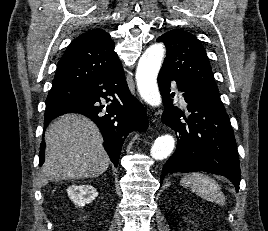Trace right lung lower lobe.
<instances>
[{
	"label": "right lung lower lobe",
	"instance_id": "98d812e1",
	"mask_svg": "<svg viewBox=\"0 0 268 231\" xmlns=\"http://www.w3.org/2000/svg\"><path fill=\"white\" fill-rule=\"evenodd\" d=\"M101 98L111 103L104 105ZM71 112L82 114L95 122L104 138V148L116 167L129 132L145 131L148 127L145 109L130 93L121 63L84 87L81 97L56 106H46L44 129L52 119ZM44 150L43 142L39 155L40 166L44 163Z\"/></svg>",
	"mask_w": 268,
	"mask_h": 231
}]
</instances>
